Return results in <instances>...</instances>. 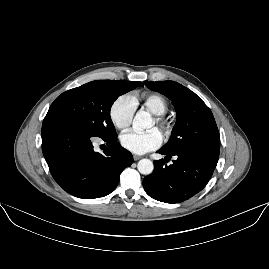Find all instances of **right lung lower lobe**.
<instances>
[{"label":"right lung lower lobe","mask_w":269,"mask_h":269,"mask_svg":"<svg viewBox=\"0 0 269 269\" xmlns=\"http://www.w3.org/2000/svg\"><path fill=\"white\" fill-rule=\"evenodd\" d=\"M42 151L55 181L69 194L93 199L116 188L121 172L133 162L117 137L103 139L102 155L93 150L92 138L70 121L46 116L42 125Z\"/></svg>","instance_id":"1"}]
</instances>
